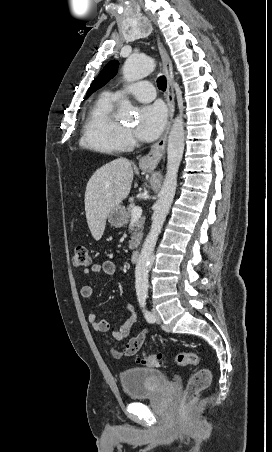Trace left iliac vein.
Instances as JSON below:
<instances>
[{
	"mask_svg": "<svg viewBox=\"0 0 272 452\" xmlns=\"http://www.w3.org/2000/svg\"><path fill=\"white\" fill-rule=\"evenodd\" d=\"M152 313H153V316H154V318H155V321H156L157 323H161L162 320H161V317H160L158 311H157L156 309H153V310H152Z\"/></svg>",
	"mask_w": 272,
	"mask_h": 452,
	"instance_id": "left-iliac-vein-1",
	"label": "left iliac vein"
}]
</instances>
